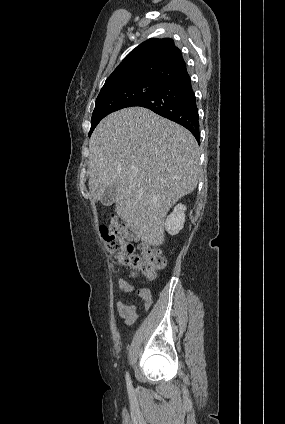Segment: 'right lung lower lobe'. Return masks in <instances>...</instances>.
Listing matches in <instances>:
<instances>
[{"mask_svg": "<svg viewBox=\"0 0 285 424\" xmlns=\"http://www.w3.org/2000/svg\"><path fill=\"white\" fill-rule=\"evenodd\" d=\"M145 107L187 128L200 143L198 109L189 74L165 82L155 92L132 103Z\"/></svg>", "mask_w": 285, "mask_h": 424, "instance_id": "1", "label": "right lung lower lobe"}]
</instances>
